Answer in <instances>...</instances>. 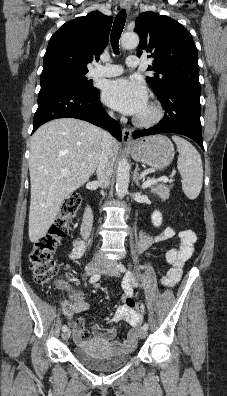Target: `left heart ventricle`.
I'll list each match as a JSON object with an SVG mask.
<instances>
[{
	"label": "left heart ventricle",
	"mask_w": 227,
	"mask_h": 396,
	"mask_svg": "<svg viewBox=\"0 0 227 396\" xmlns=\"http://www.w3.org/2000/svg\"><path fill=\"white\" fill-rule=\"evenodd\" d=\"M149 114H150V109H149V107H148V105H147L146 108H145L138 116L146 117V116H148Z\"/></svg>",
	"instance_id": "b2bd125f"
}]
</instances>
